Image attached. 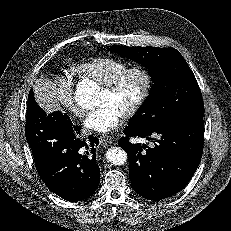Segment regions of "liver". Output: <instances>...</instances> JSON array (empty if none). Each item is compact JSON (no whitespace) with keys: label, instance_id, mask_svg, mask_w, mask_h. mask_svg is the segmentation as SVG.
Returning <instances> with one entry per match:
<instances>
[{"label":"liver","instance_id":"1","mask_svg":"<svg viewBox=\"0 0 231 231\" xmlns=\"http://www.w3.org/2000/svg\"><path fill=\"white\" fill-rule=\"evenodd\" d=\"M33 90L37 104L48 114L61 109L56 97L55 86L51 80L48 78L36 79Z\"/></svg>","mask_w":231,"mask_h":231}]
</instances>
